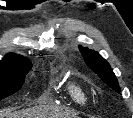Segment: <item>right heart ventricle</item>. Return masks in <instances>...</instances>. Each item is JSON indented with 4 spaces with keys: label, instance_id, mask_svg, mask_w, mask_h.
I'll return each instance as SVG.
<instances>
[{
    "label": "right heart ventricle",
    "instance_id": "obj_1",
    "mask_svg": "<svg viewBox=\"0 0 133 118\" xmlns=\"http://www.w3.org/2000/svg\"><path fill=\"white\" fill-rule=\"evenodd\" d=\"M67 93L71 100L80 105L85 106L88 102V94L83 85L77 81H70L66 87Z\"/></svg>",
    "mask_w": 133,
    "mask_h": 118
}]
</instances>
